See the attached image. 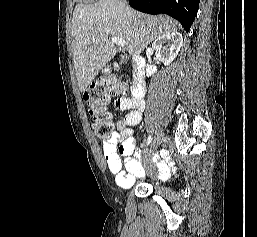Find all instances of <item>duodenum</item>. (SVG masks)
I'll return each instance as SVG.
<instances>
[{
  "label": "duodenum",
  "mask_w": 257,
  "mask_h": 237,
  "mask_svg": "<svg viewBox=\"0 0 257 237\" xmlns=\"http://www.w3.org/2000/svg\"><path fill=\"white\" fill-rule=\"evenodd\" d=\"M146 70L145 60L141 56L133 57V75H132V97L141 99L146 91Z\"/></svg>",
  "instance_id": "obj_1"
}]
</instances>
